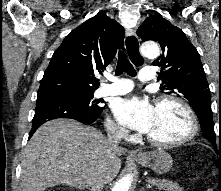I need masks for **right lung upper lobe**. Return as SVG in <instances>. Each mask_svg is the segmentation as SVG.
<instances>
[{"instance_id":"obj_1","label":"right lung upper lobe","mask_w":221,"mask_h":191,"mask_svg":"<svg viewBox=\"0 0 221 191\" xmlns=\"http://www.w3.org/2000/svg\"><path fill=\"white\" fill-rule=\"evenodd\" d=\"M123 44V27L98 13L67 35L54 52L38 95L94 92L99 86L94 72H101Z\"/></svg>"}]
</instances>
